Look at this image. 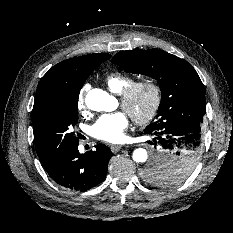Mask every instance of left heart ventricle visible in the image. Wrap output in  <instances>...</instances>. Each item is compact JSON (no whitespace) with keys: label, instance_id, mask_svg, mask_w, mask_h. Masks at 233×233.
Segmentation results:
<instances>
[{"label":"left heart ventricle","instance_id":"obj_1","mask_svg":"<svg viewBox=\"0 0 233 233\" xmlns=\"http://www.w3.org/2000/svg\"><path fill=\"white\" fill-rule=\"evenodd\" d=\"M149 93L146 90H142L137 93L131 106V112L135 114H144L149 106Z\"/></svg>","mask_w":233,"mask_h":233}]
</instances>
